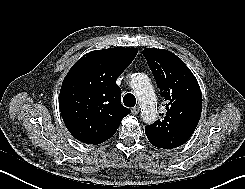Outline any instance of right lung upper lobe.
I'll list each match as a JSON object with an SVG mask.
<instances>
[{
  "label": "right lung upper lobe",
  "mask_w": 245,
  "mask_h": 189,
  "mask_svg": "<svg viewBox=\"0 0 245 189\" xmlns=\"http://www.w3.org/2000/svg\"><path fill=\"white\" fill-rule=\"evenodd\" d=\"M138 49L91 51L69 70L59 95L68 131L77 140L100 144L111 138L131 110L121 104L117 77L131 64Z\"/></svg>",
  "instance_id": "cb5924a9"
}]
</instances>
